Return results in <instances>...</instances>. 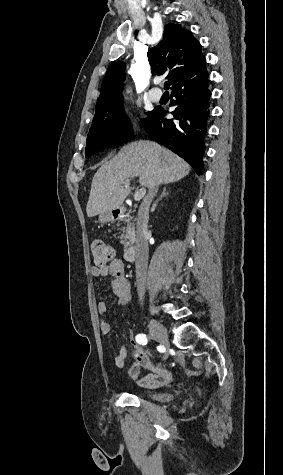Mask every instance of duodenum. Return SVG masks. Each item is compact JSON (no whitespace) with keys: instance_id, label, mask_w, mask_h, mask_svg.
Returning <instances> with one entry per match:
<instances>
[{"instance_id":"410a0bca","label":"duodenum","mask_w":283,"mask_h":475,"mask_svg":"<svg viewBox=\"0 0 283 475\" xmlns=\"http://www.w3.org/2000/svg\"><path fill=\"white\" fill-rule=\"evenodd\" d=\"M125 216V211L124 210H117L113 213V218L115 220H119ZM136 256V247L134 244L129 245L125 250H124V260L127 262H132L134 261Z\"/></svg>"}]
</instances>
